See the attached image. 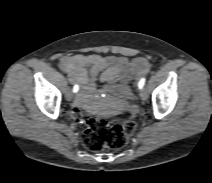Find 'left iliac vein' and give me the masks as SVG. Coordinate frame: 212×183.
<instances>
[{"instance_id":"4c4485c4","label":"left iliac vein","mask_w":212,"mask_h":183,"mask_svg":"<svg viewBox=\"0 0 212 183\" xmlns=\"http://www.w3.org/2000/svg\"><path fill=\"white\" fill-rule=\"evenodd\" d=\"M140 98L143 101H146L147 100V98H148V92H147V90L145 88L140 90Z\"/></svg>"}]
</instances>
